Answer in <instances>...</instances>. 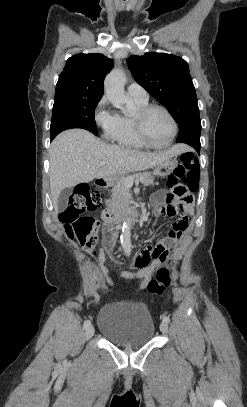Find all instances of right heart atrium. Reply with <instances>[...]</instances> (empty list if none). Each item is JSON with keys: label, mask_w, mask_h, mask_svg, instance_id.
Segmentation results:
<instances>
[{"label": "right heart atrium", "mask_w": 247, "mask_h": 407, "mask_svg": "<svg viewBox=\"0 0 247 407\" xmlns=\"http://www.w3.org/2000/svg\"><path fill=\"white\" fill-rule=\"evenodd\" d=\"M94 121L102 132L108 137L116 121V113L108 108V99L106 96L101 97L94 111Z\"/></svg>", "instance_id": "right-heart-atrium-1"}]
</instances>
